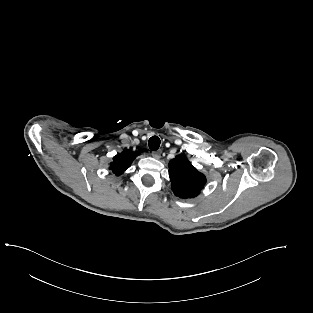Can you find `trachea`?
Segmentation results:
<instances>
[{
    "label": "trachea",
    "mask_w": 313,
    "mask_h": 313,
    "mask_svg": "<svg viewBox=\"0 0 313 313\" xmlns=\"http://www.w3.org/2000/svg\"><path fill=\"white\" fill-rule=\"evenodd\" d=\"M149 148L152 150V151H156L158 150V148L160 147V139L158 136H152L150 139H149Z\"/></svg>",
    "instance_id": "trachea-1"
}]
</instances>
